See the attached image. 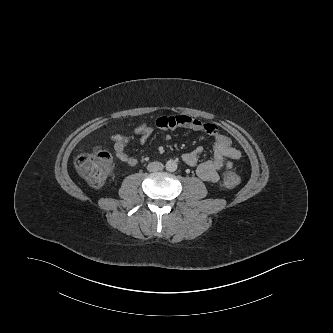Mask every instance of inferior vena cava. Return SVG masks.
I'll return each mask as SVG.
<instances>
[{
    "label": "inferior vena cava",
    "mask_w": 333,
    "mask_h": 333,
    "mask_svg": "<svg viewBox=\"0 0 333 333\" xmlns=\"http://www.w3.org/2000/svg\"><path fill=\"white\" fill-rule=\"evenodd\" d=\"M164 168V165L160 162H151L147 166V170L150 172H158Z\"/></svg>",
    "instance_id": "1"
}]
</instances>
